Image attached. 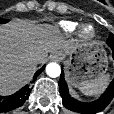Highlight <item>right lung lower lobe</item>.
Returning <instances> with one entry per match:
<instances>
[{"label":"right lung lower lobe","instance_id":"98d812e1","mask_svg":"<svg viewBox=\"0 0 114 114\" xmlns=\"http://www.w3.org/2000/svg\"><path fill=\"white\" fill-rule=\"evenodd\" d=\"M45 65L34 74V81L44 70ZM31 89L28 85L24 86L18 92L10 96H0V113L8 112L22 106L30 95Z\"/></svg>","mask_w":114,"mask_h":114}]
</instances>
